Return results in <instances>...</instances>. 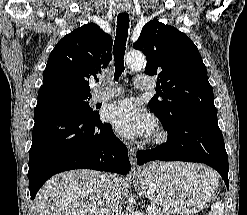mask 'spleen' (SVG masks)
Segmentation results:
<instances>
[{
  "mask_svg": "<svg viewBox=\"0 0 247 215\" xmlns=\"http://www.w3.org/2000/svg\"><path fill=\"white\" fill-rule=\"evenodd\" d=\"M224 213V204L217 200L215 204L211 207V214L210 215H223Z\"/></svg>",
  "mask_w": 247,
  "mask_h": 215,
  "instance_id": "1",
  "label": "spleen"
}]
</instances>
